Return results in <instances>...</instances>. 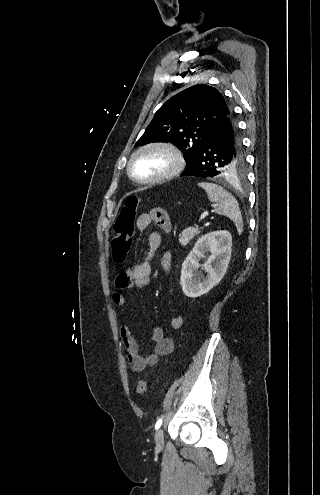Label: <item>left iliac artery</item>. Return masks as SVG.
Returning a JSON list of instances; mask_svg holds the SVG:
<instances>
[{"instance_id":"44dca946","label":"left iliac artery","mask_w":320,"mask_h":495,"mask_svg":"<svg viewBox=\"0 0 320 495\" xmlns=\"http://www.w3.org/2000/svg\"><path fill=\"white\" fill-rule=\"evenodd\" d=\"M162 419H163V418L161 417V418H159V420L156 422V424H155V429H156V430H157V429H159V428L161 427V425H162Z\"/></svg>"}]
</instances>
